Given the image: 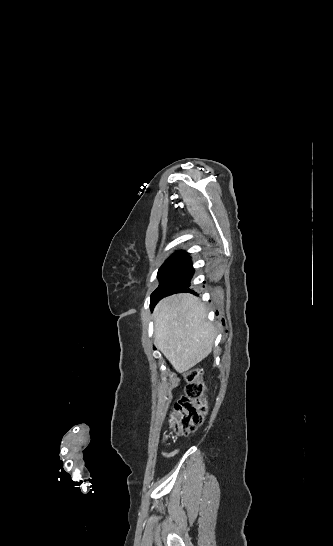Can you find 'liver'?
Here are the masks:
<instances>
[{
    "label": "liver",
    "instance_id": "6515ba94",
    "mask_svg": "<svg viewBox=\"0 0 333 546\" xmlns=\"http://www.w3.org/2000/svg\"><path fill=\"white\" fill-rule=\"evenodd\" d=\"M153 317L155 344L177 372L188 371L211 353L216 328L207 320L205 305L194 295L162 299Z\"/></svg>",
    "mask_w": 333,
    "mask_h": 546
}]
</instances>
